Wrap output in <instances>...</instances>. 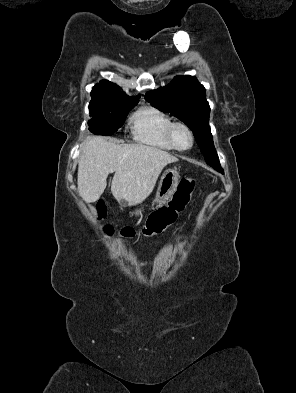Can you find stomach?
I'll list each match as a JSON object with an SVG mask.
<instances>
[{"instance_id": "obj_1", "label": "stomach", "mask_w": 296, "mask_h": 393, "mask_svg": "<svg viewBox=\"0 0 296 393\" xmlns=\"http://www.w3.org/2000/svg\"><path fill=\"white\" fill-rule=\"evenodd\" d=\"M179 178V172L175 169H167L164 171L157 188L154 204L157 203L161 205L172 197L177 189ZM142 212L143 209L140 208L137 209L135 213L136 215H142Z\"/></svg>"}]
</instances>
